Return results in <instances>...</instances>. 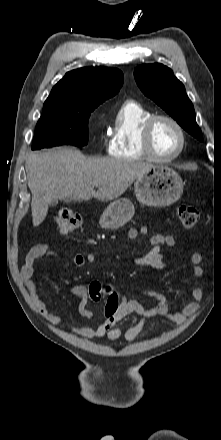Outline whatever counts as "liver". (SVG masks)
Here are the masks:
<instances>
[{
    "instance_id": "1",
    "label": "liver",
    "mask_w": 221,
    "mask_h": 440,
    "mask_svg": "<svg viewBox=\"0 0 221 440\" xmlns=\"http://www.w3.org/2000/svg\"><path fill=\"white\" fill-rule=\"evenodd\" d=\"M154 165L143 161L87 158L73 148H55L29 155L28 187L32 193L33 225L39 226L54 199L109 201L121 196ZM94 187H98L95 192Z\"/></svg>"
}]
</instances>
